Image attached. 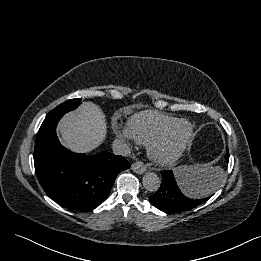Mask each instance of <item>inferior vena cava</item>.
<instances>
[{"label": "inferior vena cava", "instance_id": "inferior-vena-cava-1", "mask_svg": "<svg viewBox=\"0 0 261 261\" xmlns=\"http://www.w3.org/2000/svg\"><path fill=\"white\" fill-rule=\"evenodd\" d=\"M112 148L116 155L128 156L131 153L129 146L123 140H114Z\"/></svg>", "mask_w": 261, "mask_h": 261}]
</instances>
